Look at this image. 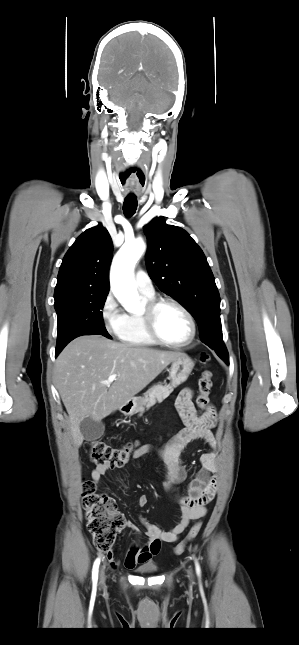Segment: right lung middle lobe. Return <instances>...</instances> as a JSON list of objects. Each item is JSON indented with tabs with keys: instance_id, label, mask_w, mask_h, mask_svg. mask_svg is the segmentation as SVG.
<instances>
[{
	"instance_id": "1",
	"label": "right lung middle lobe",
	"mask_w": 299,
	"mask_h": 645,
	"mask_svg": "<svg viewBox=\"0 0 299 645\" xmlns=\"http://www.w3.org/2000/svg\"><path fill=\"white\" fill-rule=\"evenodd\" d=\"M107 294L73 295L54 304L58 322L56 351L81 335L99 334L111 338L101 312Z\"/></svg>"
}]
</instances>
